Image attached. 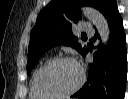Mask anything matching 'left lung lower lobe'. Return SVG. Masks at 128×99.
I'll return each mask as SVG.
<instances>
[{"instance_id":"0a47b994","label":"left lung lower lobe","mask_w":128,"mask_h":99,"mask_svg":"<svg viewBox=\"0 0 128 99\" xmlns=\"http://www.w3.org/2000/svg\"><path fill=\"white\" fill-rule=\"evenodd\" d=\"M110 27L108 47L100 43L89 64V75L84 86L72 97L86 99H124L127 77L126 37L123 21L115 0H105L102 11ZM97 37L98 33L96 32ZM90 49L87 48L85 54Z\"/></svg>"}]
</instances>
